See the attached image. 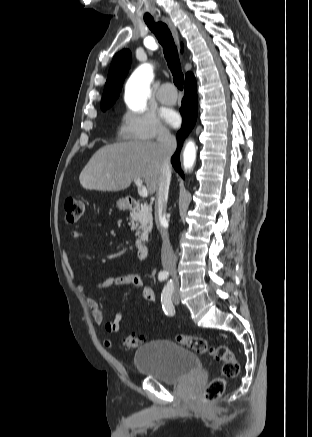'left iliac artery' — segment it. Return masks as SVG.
<instances>
[{"instance_id": "1", "label": "left iliac artery", "mask_w": 312, "mask_h": 437, "mask_svg": "<svg viewBox=\"0 0 312 437\" xmlns=\"http://www.w3.org/2000/svg\"><path fill=\"white\" fill-rule=\"evenodd\" d=\"M174 291V284L172 280H170L167 285L163 288L162 294H161V303L162 308L166 315H173L174 310L172 307V301L171 296Z\"/></svg>"}]
</instances>
